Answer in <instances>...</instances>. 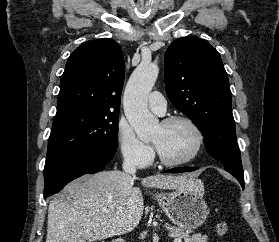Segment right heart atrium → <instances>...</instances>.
I'll return each instance as SVG.
<instances>
[{
    "label": "right heart atrium",
    "instance_id": "d8ad5b80",
    "mask_svg": "<svg viewBox=\"0 0 279 242\" xmlns=\"http://www.w3.org/2000/svg\"><path fill=\"white\" fill-rule=\"evenodd\" d=\"M116 140L123 161L137 168L147 166L153 158L152 148L142 142L127 121L121 119L116 130Z\"/></svg>",
    "mask_w": 279,
    "mask_h": 242
}]
</instances>
